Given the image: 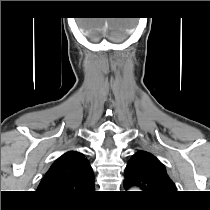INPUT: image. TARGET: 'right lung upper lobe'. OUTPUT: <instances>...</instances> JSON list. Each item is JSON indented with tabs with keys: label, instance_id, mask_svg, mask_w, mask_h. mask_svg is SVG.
<instances>
[{
	"label": "right lung upper lobe",
	"instance_id": "1",
	"mask_svg": "<svg viewBox=\"0 0 210 210\" xmlns=\"http://www.w3.org/2000/svg\"><path fill=\"white\" fill-rule=\"evenodd\" d=\"M93 190L92 168L78 151H69L59 157L37 189L44 197L57 202L83 199Z\"/></svg>",
	"mask_w": 210,
	"mask_h": 210
}]
</instances>
